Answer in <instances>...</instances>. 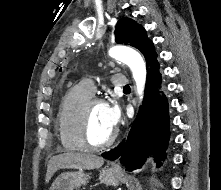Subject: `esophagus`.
<instances>
[{
	"label": "esophagus",
	"instance_id": "obj_1",
	"mask_svg": "<svg viewBox=\"0 0 221 190\" xmlns=\"http://www.w3.org/2000/svg\"><path fill=\"white\" fill-rule=\"evenodd\" d=\"M112 167H113L114 169H118V168H119V164H118V163H115Z\"/></svg>",
	"mask_w": 221,
	"mask_h": 190
}]
</instances>
